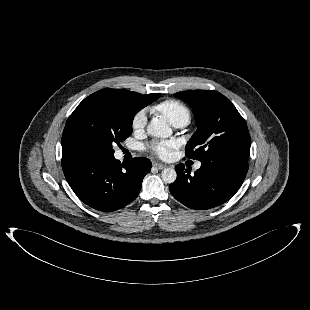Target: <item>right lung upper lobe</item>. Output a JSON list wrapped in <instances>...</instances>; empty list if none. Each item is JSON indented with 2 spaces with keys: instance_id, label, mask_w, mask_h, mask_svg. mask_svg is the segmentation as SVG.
I'll list each match as a JSON object with an SVG mask.
<instances>
[{
  "instance_id": "obj_1",
  "label": "right lung upper lobe",
  "mask_w": 310,
  "mask_h": 310,
  "mask_svg": "<svg viewBox=\"0 0 310 310\" xmlns=\"http://www.w3.org/2000/svg\"><path fill=\"white\" fill-rule=\"evenodd\" d=\"M105 95L117 100L126 102L136 108L138 111L149 105L148 102L156 98L159 94L141 95L137 92L122 89H104L97 91L90 96Z\"/></svg>"
}]
</instances>
